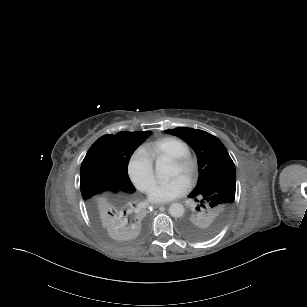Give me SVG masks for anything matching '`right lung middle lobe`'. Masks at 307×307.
I'll return each mask as SVG.
<instances>
[{
    "label": "right lung middle lobe",
    "instance_id": "obj_1",
    "mask_svg": "<svg viewBox=\"0 0 307 307\" xmlns=\"http://www.w3.org/2000/svg\"><path fill=\"white\" fill-rule=\"evenodd\" d=\"M116 183L113 169L93 155L86 154L80 171V190L83 199L111 188Z\"/></svg>",
    "mask_w": 307,
    "mask_h": 307
}]
</instances>
